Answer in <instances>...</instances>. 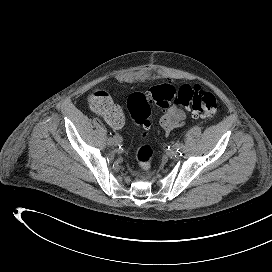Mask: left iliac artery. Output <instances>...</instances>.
<instances>
[{"label": "left iliac artery", "mask_w": 272, "mask_h": 272, "mask_svg": "<svg viewBox=\"0 0 272 272\" xmlns=\"http://www.w3.org/2000/svg\"><path fill=\"white\" fill-rule=\"evenodd\" d=\"M175 149L178 153L182 154L183 150H184V145L183 143H176L175 144Z\"/></svg>", "instance_id": "1"}]
</instances>
